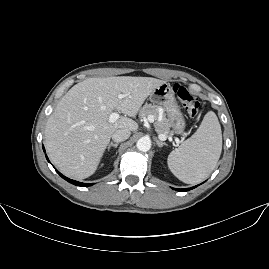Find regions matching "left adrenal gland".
Returning a JSON list of instances; mask_svg holds the SVG:
<instances>
[{"instance_id":"1","label":"left adrenal gland","mask_w":269,"mask_h":269,"mask_svg":"<svg viewBox=\"0 0 269 269\" xmlns=\"http://www.w3.org/2000/svg\"><path fill=\"white\" fill-rule=\"evenodd\" d=\"M156 143L158 145V147H162L163 145H167L165 142H161L156 138Z\"/></svg>"}]
</instances>
